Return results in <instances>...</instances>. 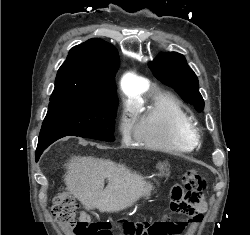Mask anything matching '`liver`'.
Instances as JSON below:
<instances>
[{"label":"liver","instance_id":"6515ba94","mask_svg":"<svg viewBox=\"0 0 250 235\" xmlns=\"http://www.w3.org/2000/svg\"><path fill=\"white\" fill-rule=\"evenodd\" d=\"M65 184L86 209L118 212L140 197L148 198L153 186L125 165L93 157H72L65 165ZM108 180L104 188V181Z\"/></svg>","mask_w":250,"mask_h":235}]
</instances>
